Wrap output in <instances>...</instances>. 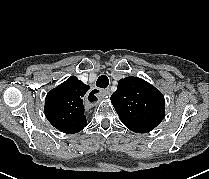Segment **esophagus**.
Segmentation results:
<instances>
[{
	"label": "esophagus",
	"instance_id": "1",
	"mask_svg": "<svg viewBox=\"0 0 209 179\" xmlns=\"http://www.w3.org/2000/svg\"><path fill=\"white\" fill-rule=\"evenodd\" d=\"M110 94L111 92L108 88L104 90L102 88H97L85 96V103L88 106H95L98 103V99L107 98Z\"/></svg>",
	"mask_w": 209,
	"mask_h": 179
}]
</instances>
